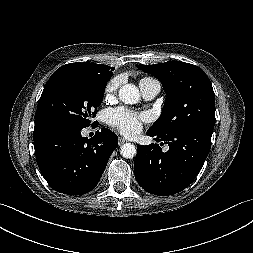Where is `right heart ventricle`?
<instances>
[{"mask_svg":"<svg viewBox=\"0 0 253 253\" xmlns=\"http://www.w3.org/2000/svg\"><path fill=\"white\" fill-rule=\"evenodd\" d=\"M151 82H158L156 79L152 78V77H143L140 80V85L141 84H146V83H151Z\"/></svg>","mask_w":253,"mask_h":253,"instance_id":"e07e8e85","label":"right heart ventricle"}]
</instances>
